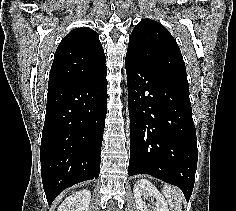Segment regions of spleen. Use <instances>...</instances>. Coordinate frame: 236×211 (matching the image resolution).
<instances>
[{"label":"spleen","instance_id":"1","mask_svg":"<svg viewBox=\"0 0 236 211\" xmlns=\"http://www.w3.org/2000/svg\"><path fill=\"white\" fill-rule=\"evenodd\" d=\"M162 192L167 199L171 211H182L184 195L180 189L164 185Z\"/></svg>","mask_w":236,"mask_h":211}]
</instances>
